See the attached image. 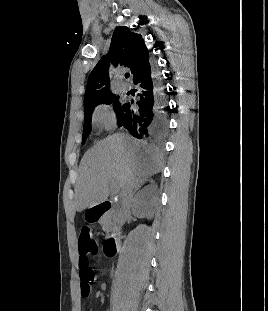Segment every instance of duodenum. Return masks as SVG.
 <instances>
[{
	"label": "duodenum",
	"instance_id": "1",
	"mask_svg": "<svg viewBox=\"0 0 268 311\" xmlns=\"http://www.w3.org/2000/svg\"><path fill=\"white\" fill-rule=\"evenodd\" d=\"M110 209V202H102L93 206L89 211V218L91 222L98 223L102 221ZM121 236L118 231L112 232L104 243V252L107 256L115 255L120 247Z\"/></svg>",
	"mask_w": 268,
	"mask_h": 311
}]
</instances>
